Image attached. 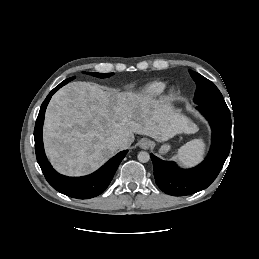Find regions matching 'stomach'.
<instances>
[{"mask_svg": "<svg viewBox=\"0 0 259 259\" xmlns=\"http://www.w3.org/2000/svg\"><path fill=\"white\" fill-rule=\"evenodd\" d=\"M170 149V145L169 144H163L159 150V152L161 154H165L166 152H168V150Z\"/></svg>", "mask_w": 259, "mask_h": 259, "instance_id": "0dacf381", "label": "stomach"}]
</instances>
